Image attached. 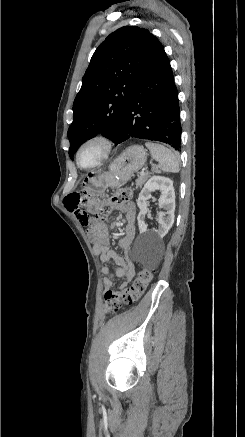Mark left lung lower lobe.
Segmentation results:
<instances>
[{
  "instance_id": "obj_1",
  "label": "left lung lower lobe",
  "mask_w": 245,
  "mask_h": 437,
  "mask_svg": "<svg viewBox=\"0 0 245 437\" xmlns=\"http://www.w3.org/2000/svg\"><path fill=\"white\" fill-rule=\"evenodd\" d=\"M178 91L162 44L138 78L126 104L116 145L131 137L181 148Z\"/></svg>"
}]
</instances>
